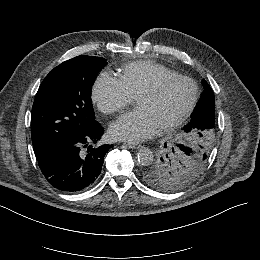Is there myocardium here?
<instances>
[{"instance_id":"myocardium-1","label":"myocardium","mask_w":260,"mask_h":260,"mask_svg":"<svg viewBox=\"0 0 260 260\" xmlns=\"http://www.w3.org/2000/svg\"><path fill=\"white\" fill-rule=\"evenodd\" d=\"M173 80H183V81L190 83L193 87L194 95H193V98H192L188 108L182 115H180L178 118H176L175 120H173L169 123L156 127V129L159 133L169 132V131H172V130L178 128L191 116V114L193 113V111L198 103L199 97H200L199 88L188 77H186L182 74H174V75L160 77L154 85L141 90L135 97V100H136L137 98H139L141 96L155 95L162 89V87L164 85H166L167 83H169Z\"/></svg>"}]
</instances>
